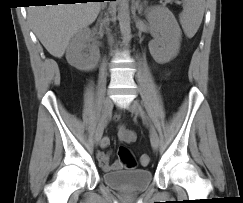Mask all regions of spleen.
Wrapping results in <instances>:
<instances>
[{"instance_id": "1", "label": "spleen", "mask_w": 243, "mask_h": 203, "mask_svg": "<svg viewBox=\"0 0 243 203\" xmlns=\"http://www.w3.org/2000/svg\"><path fill=\"white\" fill-rule=\"evenodd\" d=\"M180 24L185 35L192 38L200 27L205 10V0H183Z\"/></svg>"}]
</instances>
